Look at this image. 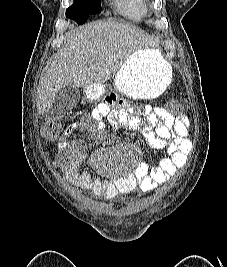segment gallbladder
I'll return each instance as SVG.
<instances>
[{
	"label": "gallbladder",
	"mask_w": 227,
	"mask_h": 267,
	"mask_svg": "<svg viewBox=\"0 0 227 267\" xmlns=\"http://www.w3.org/2000/svg\"><path fill=\"white\" fill-rule=\"evenodd\" d=\"M79 100L80 91L78 88L73 86L62 88L58 92L50 111L57 115L63 116L72 110Z\"/></svg>",
	"instance_id": "gallbladder-1"
}]
</instances>
